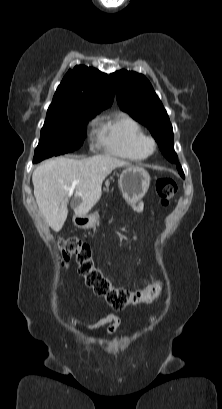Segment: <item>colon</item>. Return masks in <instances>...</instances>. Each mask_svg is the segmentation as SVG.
<instances>
[{
    "label": "colon",
    "mask_w": 222,
    "mask_h": 409,
    "mask_svg": "<svg viewBox=\"0 0 222 409\" xmlns=\"http://www.w3.org/2000/svg\"><path fill=\"white\" fill-rule=\"evenodd\" d=\"M161 204L167 206L177 193V184L170 177H161L155 184ZM59 257L67 261L74 257L78 263V271L95 294L102 296L115 310L131 305H141L154 301L160 292L158 285L150 286L143 291H131L114 286L102 271L95 265L91 247L77 239L67 238L58 242Z\"/></svg>",
    "instance_id": "obj_1"
}]
</instances>
